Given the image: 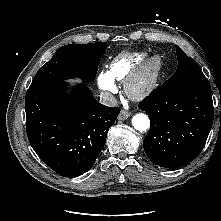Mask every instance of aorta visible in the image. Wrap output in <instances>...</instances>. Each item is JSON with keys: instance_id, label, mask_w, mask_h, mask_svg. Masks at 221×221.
<instances>
[{"instance_id": "obj_1", "label": "aorta", "mask_w": 221, "mask_h": 221, "mask_svg": "<svg viewBox=\"0 0 221 221\" xmlns=\"http://www.w3.org/2000/svg\"><path fill=\"white\" fill-rule=\"evenodd\" d=\"M132 125L138 131H146L150 127V120L146 114L138 113L133 116Z\"/></svg>"}]
</instances>
